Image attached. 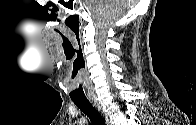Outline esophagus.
<instances>
[{
  "mask_svg": "<svg viewBox=\"0 0 196 125\" xmlns=\"http://www.w3.org/2000/svg\"><path fill=\"white\" fill-rule=\"evenodd\" d=\"M89 100L93 104V106H95L99 111L101 110V106L98 103L97 99L90 98ZM105 122H106V124L108 123V119L107 118H105Z\"/></svg>",
  "mask_w": 196,
  "mask_h": 125,
  "instance_id": "obj_1",
  "label": "esophagus"
}]
</instances>
